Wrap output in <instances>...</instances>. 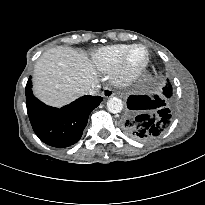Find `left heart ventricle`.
<instances>
[{
	"label": "left heart ventricle",
	"mask_w": 205,
	"mask_h": 205,
	"mask_svg": "<svg viewBox=\"0 0 205 205\" xmlns=\"http://www.w3.org/2000/svg\"><path fill=\"white\" fill-rule=\"evenodd\" d=\"M146 58V52L143 48H136L132 51L129 57V63L131 66L136 67L143 63Z\"/></svg>",
	"instance_id": "1"
}]
</instances>
